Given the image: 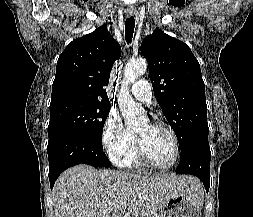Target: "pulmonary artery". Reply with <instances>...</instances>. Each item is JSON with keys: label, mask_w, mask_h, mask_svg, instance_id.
Returning <instances> with one entry per match:
<instances>
[{"label": "pulmonary artery", "mask_w": 253, "mask_h": 217, "mask_svg": "<svg viewBox=\"0 0 253 217\" xmlns=\"http://www.w3.org/2000/svg\"><path fill=\"white\" fill-rule=\"evenodd\" d=\"M132 95L138 100L147 104L151 103L152 90L148 81L141 79L134 83L130 89Z\"/></svg>", "instance_id": "e3ab8cb5"}]
</instances>
